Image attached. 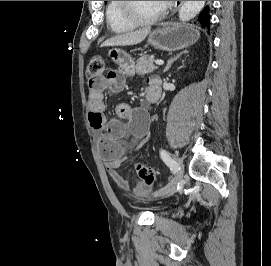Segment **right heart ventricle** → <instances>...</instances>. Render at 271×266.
Wrapping results in <instances>:
<instances>
[{
  "label": "right heart ventricle",
  "instance_id": "e07e8e85",
  "mask_svg": "<svg viewBox=\"0 0 271 266\" xmlns=\"http://www.w3.org/2000/svg\"><path fill=\"white\" fill-rule=\"evenodd\" d=\"M119 5V1H108L105 10L106 21L113 32L126 33L133 30L135 25L123 18Z\"/></svg>",
  "mask_w": 271,
  "mask_h": 266
}]
</instances>
